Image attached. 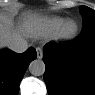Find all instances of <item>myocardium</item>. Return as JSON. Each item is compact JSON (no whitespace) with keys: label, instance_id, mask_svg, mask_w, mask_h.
Segmentation results:
<instances>
[{"label":"myocardium","instance_id":"obj_1","mask_svg":"<svg viewBox=\"0 0 95 95\" xmlns=\"http://www.w3.org/2000/svg\"><path fill=\"white\" fill-rule=\"evenodd\" d=\"M71 25L74 26L73 30H69ZM79 30L78 22L74 19H68L64 21L61 27L54 33V39L61 42L71 41L77 37Z\"/></svg>","mask_w":95,"mask_h":95}]
</instances>
